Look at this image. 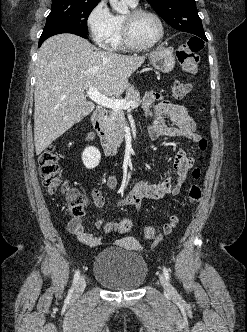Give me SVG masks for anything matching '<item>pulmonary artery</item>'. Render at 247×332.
Wrapping results in <instances>:
<instances>
[{
	"label": "pulmonary artery",
	"instance_id": "1",
	"mask_svg": "<svg viewBox=\"0 0 247 332\" xmlns=\"http://www.w3.org/2000/svg\"><path fill=\"white\" fill-rule=\"evenodd\" d=\"M131 5H137L139 0H126Z\"/></svg>",
	"mask_w": 247,
	"mask_h": 332
}]
</instances>
